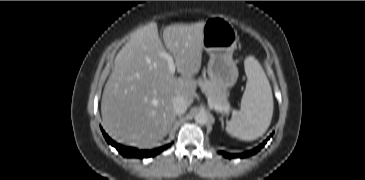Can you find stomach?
I'll list each match as a JSON object with an SVG mask.
<instances>
[{"instance_id":"0dacf381","label":"stomach","mask_w":365,"mask_h":180,"mask_svg":"<svg viewBox=\"0 0 365 180\" xmlns=\"http://www.w3.org/2000/svg\"><path fill=\"white\" fill-rule=\"evenodd\" d=\"M203 49L210 59L207 73L210 80L224 90L233 86L238 78V68L233 60L238 36L233 25L222 17H211L203 26Z\"/></svg>"}]
</instances>
